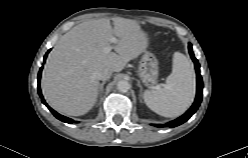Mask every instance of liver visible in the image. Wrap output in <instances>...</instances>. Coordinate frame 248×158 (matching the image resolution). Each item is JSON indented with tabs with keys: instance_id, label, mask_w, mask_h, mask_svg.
I'll return each instance as SVG.
<instances>
[{
	"instance_id": "1",
	"label": "liver",
	"mask_w": 248,
	"mask_h": 158,
	"mask_svg": "<svg viewBox=\"0 0 248 158\" xmlns=\"http://www.w3.org/2000/svg\"><path fill=\"white\" fill-rule=\"evenodd\" d=\"M92 19L76 25L59 39L44 67L41 88L56 111L79 116L91 110L99 89V73L120 72L146 51L148 39L136 20L116 17ZM118 37L115 52L105 53L111 37Z\"/></svg>"
}]
</instances>
